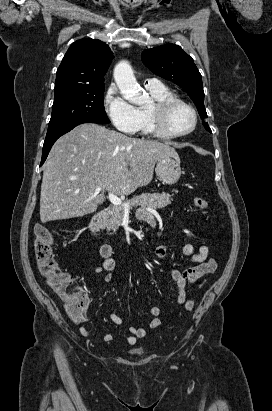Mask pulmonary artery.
Segmentation results:
<instances>
[{"instance_id": "pulmonary-artery-1", "label": "pulmonary artery", "mask_w": 272, "mask_h": 411, "mask_svg": "<svg viewBox=\"0 0 272 411\" xmlns=\"http://www.w3.org/2000/svg\"><path fill=\"white\" fill-rule=\"evenodd\" d=\"M145 84L147 86H159L162 85L157 79L155 78H149L145 80Z\"/></svg>"}]
</instances>
